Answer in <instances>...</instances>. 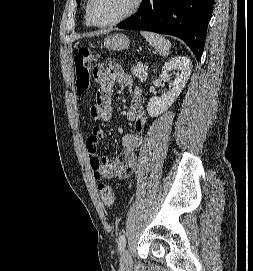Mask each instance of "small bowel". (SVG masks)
Here are the masks:
<instances>
[{
	"label": "small bowel",
	"mask_w": 253,
	"mask_h": 271,
	"mask_svg": "<svg viewBox=\"0 0 253 271\" xmlns=\"http://www.w3.org/2000/svg\"><path fill=\"white\" fill-rule=\"evenodd\" d=\"M98 81L97 101L90 108L91 118L98 123L109 121L113 113L112 92L114 84L132 89L131 107L126 113L128 121L134 123L136 133H126L122 137L123 150L113 161L97 154V145L104 137V130L100 125H94L84 139V149L93 176L96 180H111L127 178L136 168L137 150L143 142L140 134L146 128L147 118L141 107V91L135 85L132 77L126 74L121 66L115 62H108L96 68Z\"/></svg>",
	"instance_id": "obj_1"
}]
</instances>
